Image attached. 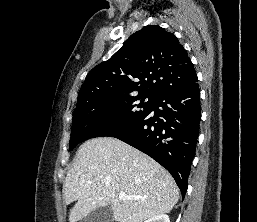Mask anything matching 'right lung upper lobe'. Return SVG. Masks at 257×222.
Listing matches in <instances>:
<instances>
[{"instance_id": "cb5924a9", "label": "right lung upper lobe", "mask_w": 257, "mask_h": 222, "mask_svg": "<svg viewBox=\"0 0 257 222\" xmlns=\"http://www.w3.org/2000/svg\"><path fill=\"white\" fill-rule=\"evenodd\" d=\"M196 79L193 64L177 37L158 25H148L88 73L77 104L92 97L137 93L154 98Z\"/></svg>"}]
</instances>
